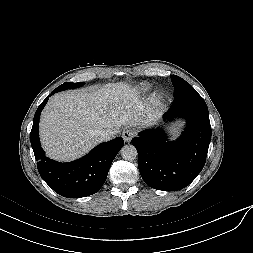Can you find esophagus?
<instances>
[{"mask_svg": "<svg viewBox=\"0 0 253 253\" xmlns=\"http://www.w3.org/2000/svg\"><path fill=\"white\" fill-rule=\"evenodd\" d=\"M135 131L132 129H126L122 133L123 140L129 143L135 137Z\"/></svg>", "mask_w": 253, "mask_h": 253, "instance_id": "esophagus-1", "label": "esophagus"}]
</instances>
